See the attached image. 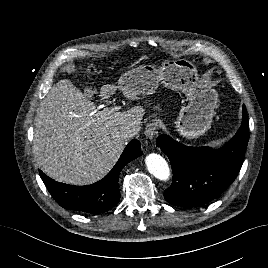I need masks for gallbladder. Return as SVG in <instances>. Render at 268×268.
<instances>
[{"label": "gallbladder", "mask_w": 268, "mask_h": 268, "mask_svg": "<svg viewBox=\"0 0 268 268\" xmlns=\"http://www.w3.org/2000/svg\"><path fill=\"white\" fill-rule=\"evenodd\" d=\"M85 94L87 95V96H89V94H90V90H86V92H85Z\"/></svg>", "instance_id": "1"}]
</instances>
